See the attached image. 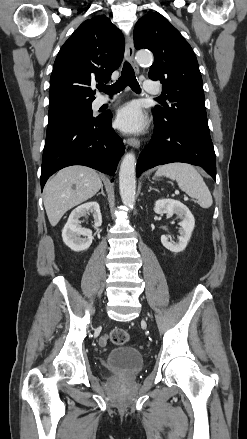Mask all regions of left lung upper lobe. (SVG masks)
Wrapping results in <instances>:
<instances>
[{"mask_svg": "<svg viewBox=\"0 0 247 439\" xmlns=\"http://www.w3.org/2000/svg\"><path fill=\"white\" fill-rule=\"evenodd\" d=\"M134 45L154 54L149 78L162 83L164 100L171 103L155 106L154 119L162 124L187 121L209 131L198 62L180 32L161 14L150 13L136 23Z\"/></svg>", "mask_w": 247, "mask_h": 439, "instance_id": "left-lung-upper-lobe-1", "label": "left lung upper lobe"}]
</instances>
